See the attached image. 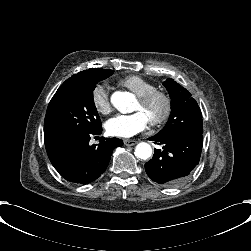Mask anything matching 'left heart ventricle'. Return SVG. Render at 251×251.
<instances>
[{"mask_svg": "<svg viewBox=\"0 0 251 251\" xmlns=\"http://www.w3.org/2000/svg\"><path fill=\"white\" fill-rule=\"evenodd\" d=\"M136 108L144 110L150 118L154 115H159L164 109V104L161 99H156L151 105H145L140 100H138Z\"/></svg>", "mask_w": 251, "mask_h": 251, "instance_id": "b2bd125f", "label": "left heart ventricle"}]
</instances>
